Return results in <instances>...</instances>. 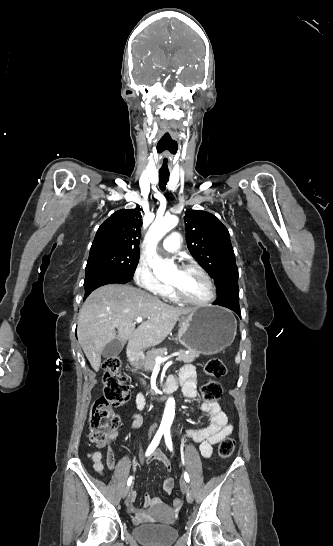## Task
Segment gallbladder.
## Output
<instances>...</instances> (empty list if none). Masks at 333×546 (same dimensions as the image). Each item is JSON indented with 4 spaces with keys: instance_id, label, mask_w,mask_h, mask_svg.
Listing matches in <instances>:
<instances>
[{
    "instance_id": "gallbladder-1",
    "label": "gallbladder",
    "mask_w": 333,
    "mask_h": 546,
    "mask_svg": "<svg viewBox=\"0 0 333 546\" xmlns=\"http://www.w3.org/2000/svg\"><path fill=\"white\" fill-rule=\"evenodd\" d=\"M124 347V341H112L105 346L102 356L105 358H114L118 356Z\"/></svg>"
}]
</instances>
